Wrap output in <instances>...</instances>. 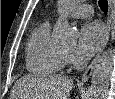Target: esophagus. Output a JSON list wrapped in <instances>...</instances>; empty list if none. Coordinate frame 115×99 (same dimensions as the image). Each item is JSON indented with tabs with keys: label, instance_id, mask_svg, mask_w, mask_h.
Returning <instances> with one entry per match:
<instances>
[{
	"label": "esophagus",
	"instance_id": "esophagus-1",
	"mask_svg": "<svg viewBox=\"0 0 115 99\" xmlns=\"http://www.w3.org/2000/svg\"><path fill=\"white\" fill-rule=\"evenodd\" d=\"M108 5H109V14H108V19H107V24H106V37H105V40H104V42H103L98 54L96 55V57L94 58L92 63L88 66L86 71L83 73L82 79H81L82 82H87L90 79V77L92 75V72L94 70V67L96 65V62L99 59L102 51L106 47L107 42L109 40V36H110V33H111L112 24H113L115 1L114 0H108Z\"/></svg>",
	"mask_w": 115,
	"mask_h": 99
}]
</instances>
